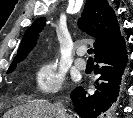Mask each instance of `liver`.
Segmentation results:
<instances>
[{
  "label": "liver",
  "mask_w": 133,
  "mask_h": 118,
  "mask_svg": "<svg viewBox=\"0 0 133 118\" xmlns=\"http://www.w3.org/2000/svg\"><path fill=\"white\" fill-rule=\"evenodd\" d=\"M3 118H58L56 106L46 101H35L15 107L3 115ZM66 118H74L66 114Z\"/></svg>",
  "instance_id": "obj_1"
}]
</instances>
